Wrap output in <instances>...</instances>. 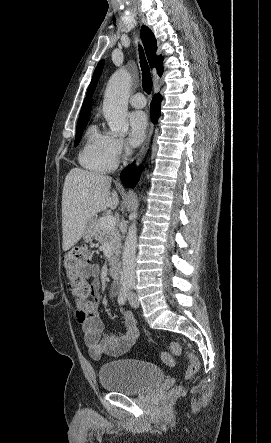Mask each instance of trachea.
Listing matches in <instances>:
<instances>
[{"label": "trachea", "mask_w": 271, "mask_h": 443, "mask_svg": "<svg viewBox=\"0 0 271 443\" xmlns=\"http://www.w3.org/2000/svg\"><path fill=\"white\" fill-rule=\"evenodd\" d=\"M140 59H141V69H142V87L147 94L151 93L152 90V78L149 70V66L145 60L142 49L140 48Z\"/></svg>", "instance_id": "3493384b"}]
</instances>
